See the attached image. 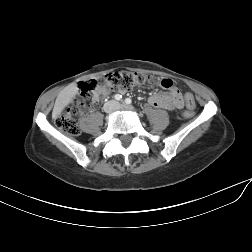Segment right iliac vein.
I'll return each mask as SVG.
<instances>
[{"instance_id": "right-iliac-vein-1", "label": "right iliac vein", "mask_w": 252, "mask_h": 252, "mask_svg": "<svg viewBox=\"0 0 252 252\" xmlns=\"http://www.w3.org/2000/svg\"><path fill=\"white\" fill-rule=\"evenodd\" d=\"M115 108H116V103H115L114 101H111V102H109V103L107 104L105 110H106L107 112H112V111H114Z\"/></svg>"}]
</instances>
